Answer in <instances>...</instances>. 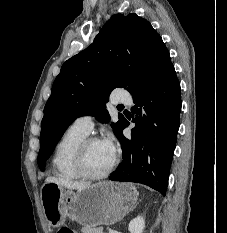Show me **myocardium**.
Instances as JSON below:
<instances>
[{
  "label": "myocardium",
  "instance_id": "1",
  "mask_svg": "<svg viewBox=\"0 0 227 233\" xmlns=\"http://www.w3.org/2000/svg\"><path fill=\"white\" fill-rule=\"evenodd\" d=\"M101 141L97 137H86L77 147L75 155H74V168L77 171V173L80 175V177L90 180H99L106 178L108 175L111 174V172L114 170L116 165L118 164V156L114 154L113 160L109 167L100 173H93L88 170L86 166V154L88 147L93 142H99Z\"/></svg>",
  "mask_w": 227,
  "mask_h": 233
}]
</instances>
